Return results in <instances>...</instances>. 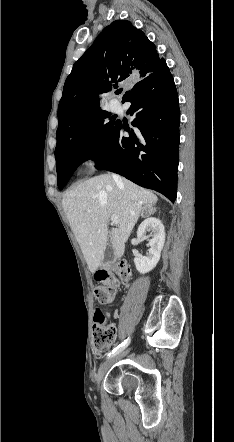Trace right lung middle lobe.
I'll return each mask as SVG.
<instances>
[{
    "instance_id": "right-lung-middle-lobe-1",
    "label": "right lung middle lobe",
    "mask_w": 234,
    "mask_h": 442,
    "mask_svg": "<svg viewBox=\"0 0 234 442\" xmlns=\"http://www.w3.org/2000/svg\"><path fill=\"white\" fill-rule=\"evenodd\" d=\"M110 113L97 110L84 119L70 138L55 149L57 183L60 190L78 165L94 159L106 145L116 120Z\"/></svg>"
}]
</instances>
